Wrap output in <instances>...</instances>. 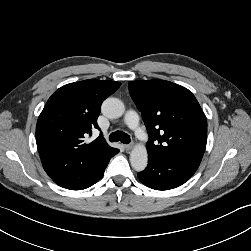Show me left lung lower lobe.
Masks as SVG:
<instances>
[{"instance_id":"0a47b994","label":"left lung lower lobe","mask_w":251,"mask_h":251,"mask_svg":"<svg viewBox=\"0 0 251 251\" xmlns=\"http://www.w3.org/2000/svg\"><path fill=\"white\" fill-rule=\"evenodd\" d=\"M198 167L179 159L148 155V166L138 173V178L152 189L168 190L184 184Z\"/></svg>"}]
</instances>
